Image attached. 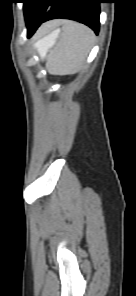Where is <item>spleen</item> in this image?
Masks as SVG:
<instances>
[{"label": "spleen", "mask_w": 136, "mask_h": 296, "mask_svg": "<svg viewBox=\"0 0 136 296\" xmlns=\"http://www.w3.org/2000/svg\"><path fill=\"white\" fill-rule=\"evenodd\" d=\"M59 33L60 29L53 31L42 44L35 46L41 58H44L47 50L54 45ZM49 42H53V44L47 49L46 44ZM93 42L94 34L91 29L79 23H68L52 54L49 71L60 75L77 73L83 67Z\"/></svg>", "instance_id": "spleen-1"}]
</instances>
